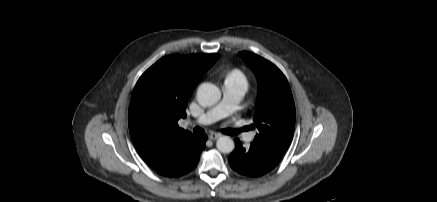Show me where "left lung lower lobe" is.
Segmentation results:
<instances>
[{
	"mask_svg": "<svg viewBox=\"0 0 437 202\" xmlns=\"http://www.w3.org/2000/svg\"><path fill=\"white\" fill-rule=\"evenodd\" d=\"M229 163L234 171L248 177L262 176L278 165L252 145L245 149L238 138L235 139V150L229 156Z\"/></svg>",
	"mask_w": 437,
	"mask_h": 202,
	"instance_id": "1",
	"label": "left lung lower lobe"
}]
</instances>
